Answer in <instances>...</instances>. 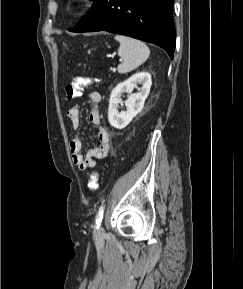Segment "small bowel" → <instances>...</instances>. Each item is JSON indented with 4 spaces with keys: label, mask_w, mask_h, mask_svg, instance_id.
Wrapping results in <instances>:
<instances>
[{
    "label": "small bowel",
    "mask_w": 243,
    "mask_h": 289,
    "mask_svg": "<svg viewBox=\"0 0 243 289\" xmlns=\"http://www.w3.org/2000/svg\"><path fill=\"white\" fill-rule=\"evenodd\" d=\"M87 101L93 104L89 112L88 118L90 122L98 127V144L90 149L85 155L82 154V141L79 137H75L70 141V153L73 163L80 170H87L96 165V160L107 156L110 147L109 133L106 128L101 126V116L99 110V103L101 102V95L98 92H91L86 97ZM67 116L71 121L72 127L77 129L80 124V107L74 105L67 111Z\"/></svg>",
    "instance_id": "small-bowel-1"
}]
</instances>
